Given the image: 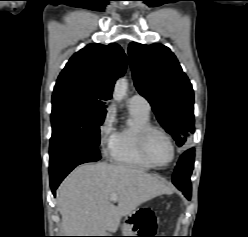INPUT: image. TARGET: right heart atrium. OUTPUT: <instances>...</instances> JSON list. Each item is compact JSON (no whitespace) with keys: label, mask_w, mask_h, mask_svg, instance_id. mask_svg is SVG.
I'll use <instances>...</instances> for the list:
<instances>
[{"label":"right heart atrium","mask_w":248,"mask_h":237,"mask_svg":"<svg viewBox=\"0 0 248 237\" xmlns=\"http://www.w3.org/2000/svg\"><path fill=\"white\" fill-rule=\"evenodd\" d=\"M115 135L113 113L111 108H108L98 127V141L104 156L112 153L115 144Z\"/></svg>","instance_id":"d8ad5b80"}]
</instances>
